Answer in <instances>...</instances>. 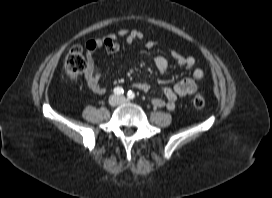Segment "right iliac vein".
I'll return each instance as SVG.
<instances>
[{"label": "right iliac vein", "instance_id": "right-iliac-vein-1", "mask_svg": "<svg viewBox=\"0 0 272 198\" xmlns=\"http://www.w3.org/2000/svg\"><path fill=\"white\" fill-rule=\"evenodd\" d=\"M119 101H120L119 97H117V96H115V95H113V96H111V97L109 98V104H110L111 106H116V105L119 103Z\"/></svg>", "mask_w": 272, "mask_h": 198}]
</instances>
